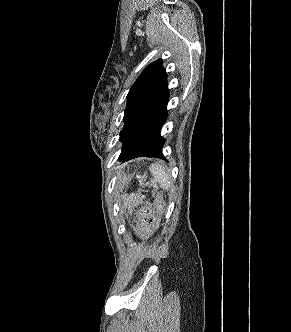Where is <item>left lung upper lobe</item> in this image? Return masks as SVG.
<instances>
[{"instance_id":"obj_1","label":"left lung upper lobe","mask_w":291,"mask_h":332,"mask_svg":"<svg viewBox=\"0 0 291 332\" xmlns=\"http://www.w3.org/2000/svg\"><path fill=\"white\" fill-rule=\"evenodd\" d=\"M167 87V74L162 67V59L148 65L130 88L124 113L125 125L120 133L123 146L129 143L138 130L140 118L149 101Z\"/></svg>"}]
</instances>
